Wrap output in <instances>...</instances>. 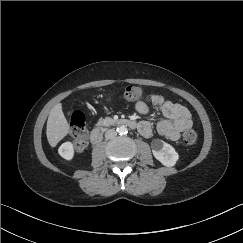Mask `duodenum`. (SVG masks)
I'll list each match as a JSON object with an SVG mask.
<instances>
[{"mask_svg": "<svg viewBox=\"0 0 243 243\" xmlns=\"http://www.w3.org/2000/svg\"><path fill=\"white\" fill-rule=\"evenodd\" d=\"M114 124L116 125H122V126H127V127H130L132 129H137L138 128V123H136L135 121L131 120V119H120V120H116L114 121ZM102 129L97 127V128H94L92 131H91V134H90V140L92 143L96 144L98 143L101 138H102Z\"/></svg>", "mask_w": 243, "mask_h": 243, "instance_id": "duodenum-1", "label": "duodenum"}]
</instances>
